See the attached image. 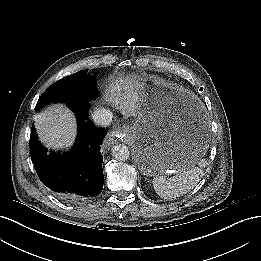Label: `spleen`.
<instances>
[{"label":"spleen","mask_w":261,"mask_h":261,"mask_svg":"<svg viewBox=\"0 0 261 261\" xmlns=\"http://www.w3.org/2000/svg\"><path fill=\"white\" fill-rule=\"evenodd\" d=\"M198 165V167L183 170L170 178L157 175L152 182L156 193L164 199H171L186 194L201 180L203 168L207 165V160L200 159Z\"/></svg>","instance_id":"3e777b00"}]
</instances>
